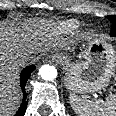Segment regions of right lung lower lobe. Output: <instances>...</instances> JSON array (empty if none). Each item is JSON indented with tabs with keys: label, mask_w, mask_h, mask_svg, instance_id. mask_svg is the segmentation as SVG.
<instances>
[{
	"label": "right lung lower lobe",
	"mask_w": 116,
	"mask_h": 116,
	"mask_svg": "<svg viewBox=\"0 0 116 116\" xmlns=\"http://www.w3.org/2000/svg\"><path fill=\"white\" fill-rule=\"evenodd\" d=\"M34 69H35V66L31 65V66H27L21 72V75H20V86H21V89H22V92H23V101H22V104H21L19 110L17 111V113L14 116H24V114H25L27 103H28L26 101L25 85H26V82H27L29 76L31 75V72Z\"/></svg>",
	"instance_id": "98d812e1"
}]
</instances>
